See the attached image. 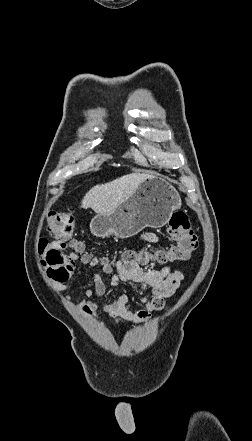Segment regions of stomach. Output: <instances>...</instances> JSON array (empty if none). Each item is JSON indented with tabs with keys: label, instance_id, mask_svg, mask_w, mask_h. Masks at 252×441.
Segmentation results:
<instances>
[{
	"label": "stomach",
	"instance_id": "0dacf381",
	"mask_svg": "<svg viewBox=\"0 0 252 441\" xmlns=\"http://www.w3.org/2000/svg\"><path fill=\"white\" fill-rule=\"evenodd\" d=\"M180 207L181 199L176 189L165 179L153 177L142 182L112 213L97 214L90 228L98 237L114 235L125 239L146 227H163Z\"/></svg>",
	"mask_w": 252,
	"mask_h": 441
}]
</instances>
